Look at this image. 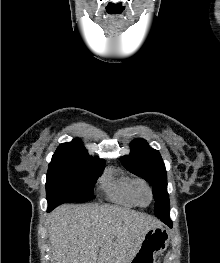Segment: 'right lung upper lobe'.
Here are the masks:
<instances>
[{
  "mask_svg": "<svg viewBox=\"0 0 220 263\" xmlns=\"http://www.w3.org/2000/svg\"><path fill=\"white\" fill-rule=\"evenodd\" d=\"M56 153H85V154H88L85 147L81 145L80 141L77 139L70 143L61 144L57 148Z\"/></svg>",
  "mask_w": 220,
  "mask_h": 263,
  "instance_id": "cb5924a9",
  "label": "right lung upper lobe"
}]
</instances>
